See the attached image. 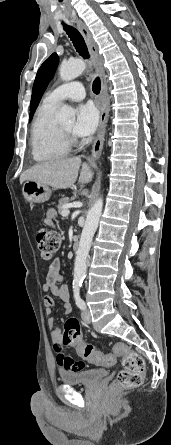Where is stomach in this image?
Masks as SVG:
<instances>
[{"label": "stomach", "mask_w": 171, "mask_h": 445, "mask_svg": "<svg viewBox=\"0 0 171 445\" xmlns=\"http://www.w3.org/2000/svg\"><path fill=\"white\" fill-rule=\"evenodd\" d=\"M22 194L25 201L30 204L42 203L50 198L51 189L45 184L29 180L23 184Z\"/></svg>", "instance_id": "stomach-1"}]
</instances>
